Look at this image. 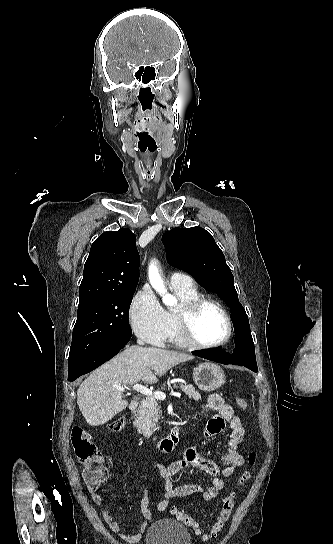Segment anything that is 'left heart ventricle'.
Listing matches in <instances>:
<instances>
[{
	"mask_svg": "<svg viewBox=\"0 0 333 544\" xmlns=\"http://www.w3.org/2000/svg\"><path fill=\"white\" fill-rule=\"evenodd\" d=\"M194 333L201 343L223 340L227 334V323L221 310L212 304L205 305L196 317Z\"/></svg>",
	"mask_w": 333,
	"mask_h": 544,
	"instance_id": "b2bd125f",
	"label": "left heart ventricle"
}]
</instances>
